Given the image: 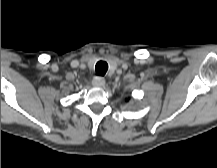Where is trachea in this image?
I'll use <instances>...</instances> for the list:
<instances>
[{
    "label": "trachea",
    "mask_w": 217,
    "mask_h": 168,
    "mask_svg": "<svg viewBox=\"0 0 217 168\" xmlns=\"http://www.w3.org/2000/svg\"><path fill=\"white\" fill-rule=\"evenodd\" d=\"M96 75L104 76L108 70V64L105 61H98L96 66Z\"/></svg>",
    "instance_id": "trachea-1"
}]
</instances>
